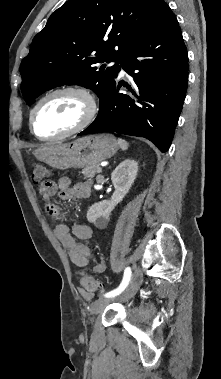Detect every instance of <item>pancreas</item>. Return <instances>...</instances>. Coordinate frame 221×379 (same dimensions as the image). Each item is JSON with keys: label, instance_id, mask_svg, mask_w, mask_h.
Instances as JSON below:
<instances>
[{"label": "pancreas", "instance_id": "1", "mask_svg": "<svg viewBox=\"0 0 221 379\" xmlns=\"http://www.w3.org/2000/svg\"><path fill=\"white\" fill-rule=\"evenodd\" d=\"M99 168L98 165H95V166H88V167H85L83 170H82V174L87 177V178H93L95 176V173L97 172V169Z\"/></svg>", "mask_w": 221, "mask_h": 379}]
</instances>
